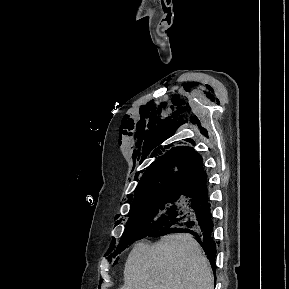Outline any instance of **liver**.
I'll list each match as a JSON object with an SVG mask.
<instances>
[{"instance_id": "obj_1", "label": "liver", "mask_w": 289, "mask_h": 289, "mask_svg": "<svg viewBox=\"0 0 289 289\" xmlns=\"http://www.w3.org/2000/svg\"><path fill=\"white\" fill-rule=\"evenodd\" d=\"M120 289H214V277L194 237L173 234L153 246H134L125 263Z\"/></svg>"}]
</instances>
